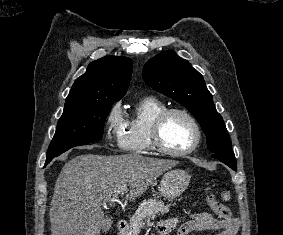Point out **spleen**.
<instances>
[{
  "label": "spleen",
  "instance_id": "obj_1",
  "mask_svg": "<svg viewBox=\"0 0 283 235\" xmlns=\"http://www.w3.org/2000/svg\"><path fill=\"white\" fill-rule=\"evenodd\" d=\"M222 198H223V200H225V201H228V200H230V193L229 192H225L224 194H222Z\"/></svg>",
  "mask_w": 283,
  "mask_h": 235
}]
</instances>
